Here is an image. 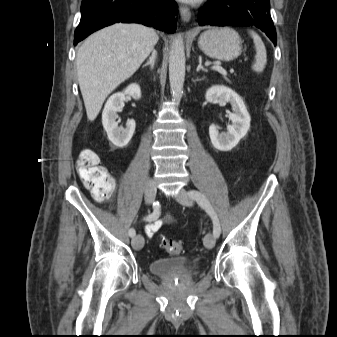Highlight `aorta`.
<instances>
[{"label": "aorta", "instance_id": "1", "mask_svg": "<svg viewBox=\"0 0 337 337\" xmlns=\"http://www.w3.org/2000/svg\"><path fill=\"white\" fill-rule=\"evenodd\" d=\"M185 79V52L184 42L181 35H178L170 49L169 55V81L171 94L174 100H179L183 94Z\"/></svg>", "mask_w": 337, "mask_h": 337}]
</instances>
